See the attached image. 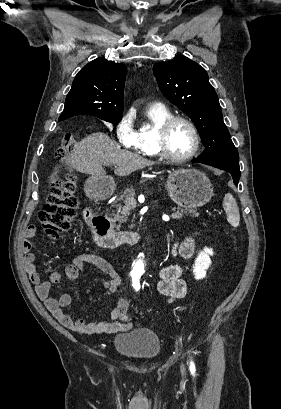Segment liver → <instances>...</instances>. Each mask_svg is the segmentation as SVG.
I'll return each mask as SVG.
<instances>
[{
	"label": "liver",
	"mask_w": 281,
	"mask_h": 409,
	"mask_svg": "<svg viewBox=\"0 0 281 409\" xmlns=\"http://www.w3.org/2000/svg\"><path fill=\"white\" fill-rule=\"evenodd\" d=\"M67 160L79 172L91 174L95 178H109L102 166L103 162L114 164V172L118 176H127L138 168H145V166L154 164V160H148L140 154L119 148V144L113 142L104 132H93L77 142ZM52 178L54 176H51V180Z\"/></svg>",
	"instance_id": "6515ba94"
}]
</instances>
